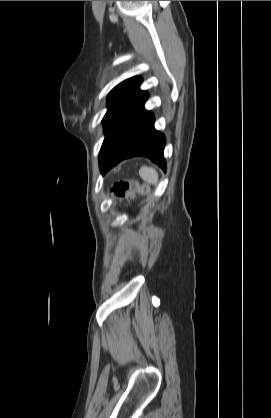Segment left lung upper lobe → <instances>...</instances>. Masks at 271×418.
<instances>
[{"instance_id": "obj_1", "label": "left lung upper lobe", "mask_w": 271, "mask_h": 418, "mask_svg": "<svg viewBox=\"0 0 271 418\" xmlns=\"http://www.w3.org/2000/svg\"><path fill=\"white\" fill-rule=\"evenodd\" d=\"M141 77L129 78L111 90L107 98L108 110L102 122L107 136L148 95L140 90Z\"/></svg>"}]
</instances>
